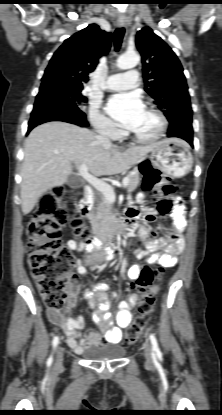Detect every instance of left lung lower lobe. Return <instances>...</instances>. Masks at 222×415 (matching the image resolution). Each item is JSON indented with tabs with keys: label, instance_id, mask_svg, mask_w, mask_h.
<instances>
[{
	"label": "left lung lower lobe",
	"instance_id": "left-lung-lower-lobe-1",
	"mask_svg": "<svg viewBox=\"0 0 222 415\" xmlns=\"http://www.w3.org/2000/svg\"><path fill=\"white\" fill-rule=\"evenodd\" d=\"M167 136L182 138L193 146L192 116H183L178 123L170 125Z\"/></svg>",
	"mask_w": 222,
	"mask_h": 415
}]
</instances>
